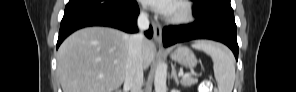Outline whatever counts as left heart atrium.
I'll return each mask as SVG.
<instances>
[{
	"mask_svg": "<svg viewBox=\"0 0 296 92\" xmlns=\"http://www.w3.org/2000/svg\"><path fill=\"white\" fill-rule=\"evenodd\" d=\"M145 3L148 4L154 10L165 15L173 14V12L175 11V3L173 1L146 0Z\"/></svg>",
	"mask_w": 296,
	"mask_h": 92,
	"instance_id": "1",
	"label": "left heart atrium"
}]
</instances>
